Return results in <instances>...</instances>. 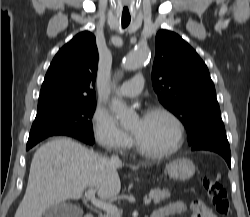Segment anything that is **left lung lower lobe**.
<instances>
[{
	"label": "left lung lower lobe",
	"mask_w": 250,
	"mask_h": 217,
	"mask_svg": "<svg viewBox=\"0 0 250 217\" xmlns=\"http://www.w3.org/2000/svg\"><path fill=\"white\" fill-rule=\"evenodd\" d=\"M192 150H209L220 154L230 167L231 152L223 123L213 124L189 142Z\"/></svg>",
	"instance_id": "1"
}]
</instances>
